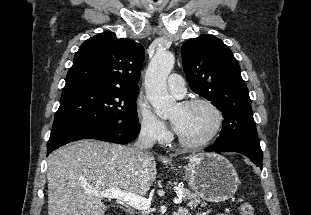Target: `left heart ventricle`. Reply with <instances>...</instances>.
<instances>
[{
	"instance_id": "b2bd125f",
	"label": "left heart ventricle",
	"mask_w": 311,
	"mask_h": 215,
	"mask_svg": "<svg viewBox=\"0 0 311 215\" xmlns=\"http://www.w3.org/2000/svg\"><path fill=\"white\" fill-rule=\"evenodd\" d=\"M170 119L178 124V134L190 142H197L207 137L216 123L215 114L205 105H194L188 108L177 105Z\"/></svg>"
}]
</instances>
